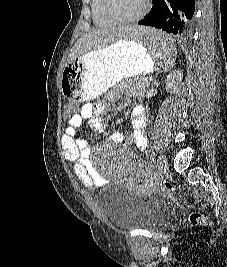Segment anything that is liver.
Masks as SVG:
<instances>
[{
	"instance_id": "6515ba94",
	"label": "liver",
	"mask_w": 227,
	"mask_h": 267,
	"mask_svg": "<svg viewBox=\"0 0 227 267\" xmlns=\"http://www.w3.org/2000/svg\"><path fill=\"white\" fill-rule=\"evenodd\" d=\"M130 30H119V26L93 28L80 37L69 54L67 63L85 53L102 49L112 43L123 39Z\"/></svg>"
}]
</instances>
